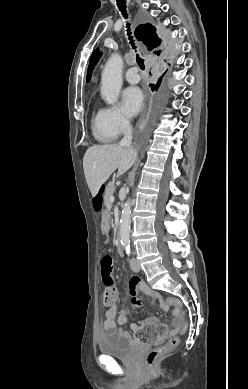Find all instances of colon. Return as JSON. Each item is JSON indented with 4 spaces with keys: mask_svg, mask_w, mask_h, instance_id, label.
<instances>
[{
    "mask_svg": "<svg viewBox=\"0 0 248 389\" xmlns=\"http://www.w3.org/2000/svg\"><path fill=\"white\" fill-rule=\"evenodd\" d=\"M104 200L103 194H94L93 195V206L96 209H99V206H102ZM112 270H113V259L111 256H104L101 259V272L102 279L106 286L112 287L115 285V280L112 279ZM117 300V294L112 291H106L103 293V302L105 305H109L114 303ZM163 304L168 306H173L175 314L178 317V325L176 326V330L180 332H184L187 329V324L185 321V310L183 308L182 303L174 297L167 298L163 301ZM149 329H152L149 331ZM138 338L141 344H150L151 340H159L160 337H167V330H160L158 324L156 322H147L145 327L142 330L137 332ZM179 339L177 336L171 337L165 344L149 351L146 355V366L149 370H155L157 367L158 361L167 355L170 351L175 349L178 346Z\"/></svg>",
    "mask_w": 248,
    "mask_h": 389,
    "instance_id": "obj_1",
    "label": "colon"
}]
</instances>
